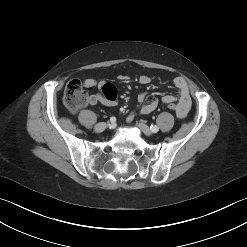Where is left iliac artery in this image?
Returning <instances> with one entry per match:
<instances>
[{
    "label": "left iliac artery",
    "instance_id": "left-iliac-artery-1",
    "mask_svg": "<svg viewBox=\"0 0 247 247\" xmlns=\"http://www.w3.org/2000/svg\"><path fill=\"white\" fill-rule=\"evenodd\" d=\"M150 130H151L152 132L156 133V132L159 131V128H158V126H156V125H151V126H150Z\"/></svg>",
    "mask_w": 247,
    "mask_h": 247
}]
</instances>
